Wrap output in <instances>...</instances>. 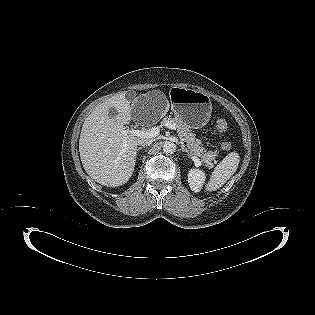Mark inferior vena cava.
Returning <instances> with one entry per match:
<instances>
[{
    "instance_id": "602c4592",
    "label": "inferior vena cava",
    "mask_w": 315,
    "mask_h": 315,
    "mask_svg": "<svg viewBox=\"0 0 315 315\" xmlns=\"http://www.w3.org/2000/svg\"><path fill=\"white\" fill-rule=\"evenodd\" d=\"M153 142V139H139L138 140V145L140 146H149Z\"/></svg>"
}]
</instances>
